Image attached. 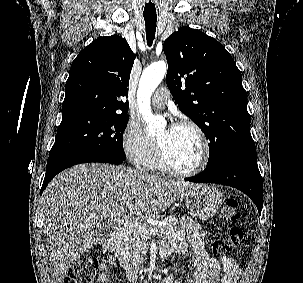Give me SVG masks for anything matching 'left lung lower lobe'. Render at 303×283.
<instances>
[{
  "mask_svg": "<svg viewBox=\"0 0 303 283\" xmlns=\"http://www.w3.org/2000/svg\"><path fill=\"white\" fill-rule=\"evenodd\" d=\"M195 183H216L239 189L248 195L261 214L263 181L257 165L255 148L234 153L200 174L186 178Z\"/></svg>",
  "mask_w": 303,
  "mask_h": 283,
  "instance_id": "1",
  "label": "left lung lower lobe"
}]
</instances>
